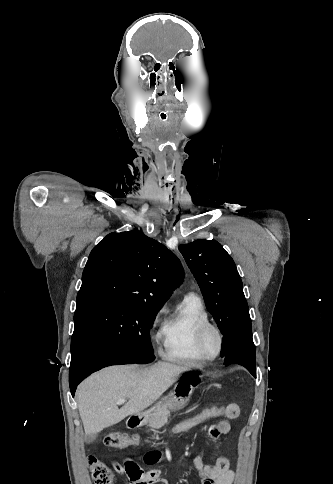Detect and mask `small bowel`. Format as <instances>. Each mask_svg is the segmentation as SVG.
<instances>
[{
  "instance_id": "1",
  "label": "small bowel",
  "mask_w": 333,
  "mask_h": 484,
  "mask_svg": "<svg viewBox=\"0 0 333 484\" xmlns=\"http://www.w3.org/2000/svg\"><path fill=\"white\" fill-rule=\"evenodd\" d=\"M223 416L227 419H234L239 415V407L236 404L223 406ZM230 431V424L227 420H221L209 427L208 434L213 441H218L221 436ZM198 471L201 484H233L235 473L230 467L229 460L224 456H217L211 463L205 464L199 456L192 459ZM118 474L127 476L129 484H162L164 481L159 478L160 469L143 471L133 460H126L123 465L115 464Z\"/></svg>"
}]
</instances>
